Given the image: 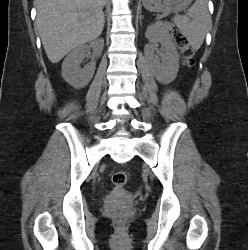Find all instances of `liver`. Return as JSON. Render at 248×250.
<instances>
[{"label":"liver","instance_id":"6515ba94","mask_svg":"<svg viewBox=\"0 0 248 250\" xmlns=\"http://www.w3.org/2000/svg\"><path fill=\"white\" fill-rule=\"evenodd\" d=\"M34 3L38 32L52 63H58L71 50L102 33L105 0H35Z\"/></svg>","mask_w":248,"mask_h":250}]
</instances>
